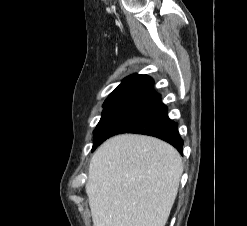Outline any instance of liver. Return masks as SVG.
<instances>
[{
  "mask_svg": "<svg viewBox=\"0 0 247 226\" xmlns=\"http://www.w3.org/2000/svg\"><path fill=\"white\" fill-rule=\"evenodd\" d=\"M182 173L180 154L166 142L134 134L110 138L89 165L93 226H165Z\"/></svg>",
  "mask_w": 247,
  "mask_h": 226,
  "instance_id": "liver-1",
  "label": "liver"
}]
</instances>
